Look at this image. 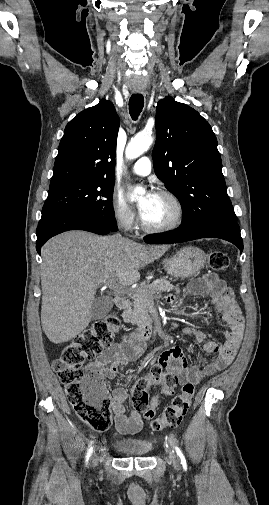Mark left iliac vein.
<instances>
[{
  "label": "left iliac vein",
  "instance_id": "obj_1",
  "mask_svg": "<svg viewBox=\"0 0 269 505\" xmlns=\"http://www.w3.org/2000/svg\"><path fill=\"white\" fill-rule=\"evenodd\" d=\"M170 457L173 462L174 468L178 470L180 468V460H179L178 456L175 453H171Z\"/></svg>",
  "mask_w": 269,
  "mask_h": 505
}]
</instances>
